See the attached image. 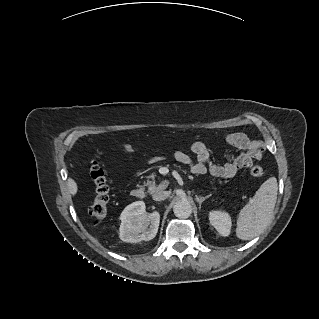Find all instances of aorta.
I'll list each match as a JSON object with an SVG mask.
<instances>
[{"label": "aorta", "mask_w": 319, "mask_h": 319, "mask_svg": "<svg viewBox=\"0 0 319 319\" xmlns=\"http://www.w3.org/2000/svg\"><path fill=\"white\" fill-rule=\"evenodd\" d=\"M173 212L178 218H188L192 214V206L187 200H179L174 204Z\"/></svg>", "instance_id": "762f6f07"}]
</instances>
